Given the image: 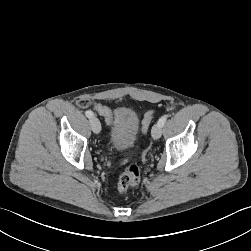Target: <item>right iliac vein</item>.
<instances>
[{
	"label": "right iliac vein",
	"instance_id": "obj_1",
	"mask_svg": "<svg viewBox=\"0 0 251 251\" xmlns=\"http://www.w3.org/2000/svg\"><path fill=\"white\" fill-rule=\"evenodd\" d=\"M91 129L94 133L99 134L101 131L100 121L96 117L90 119Z\"/></svg>",
	"mask_w": 251,
	"mask_h": 251
}]
</instances>
